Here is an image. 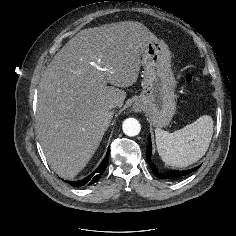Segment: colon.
Wrapping results in <instances>:
<instances>
[{
    "mask_svg": "<svg viewBox=\"0 0 236 236\" xmlns=\"http://www.w3.org/2000/svg\"><path fill=\"white\" fill-rule=\"evenodd\" d=\"M184 81H185L187 84H191V83L194 81L193 75H191V74L185 75Z\"/></svg>",
    "mask_w": 236,
    "mask_h": 236,
    "instance_id": "obj_1",
    "label": "colon"
}]
</instances>
